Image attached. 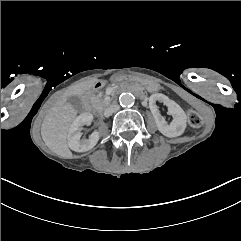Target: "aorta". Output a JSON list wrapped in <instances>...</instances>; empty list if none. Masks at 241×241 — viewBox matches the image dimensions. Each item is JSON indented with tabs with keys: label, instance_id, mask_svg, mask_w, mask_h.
<instances>
[{
	"label": "aorta",
	"instance_id": "1",
	"mask_svg": "<svg viewBox=\"0 0 241 241\" xmlns=\"http://www.w3.org/2000/svg\"><path fill=\"white\" fill-rule=\"evenodd\" d=\"M135 97L131 93H122L119 97L121 106H132L134 104Z\"/></svg>",
	"mask_w": 241,
	"mask_h": 241
}]
</instances>
